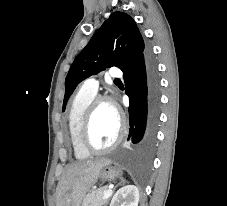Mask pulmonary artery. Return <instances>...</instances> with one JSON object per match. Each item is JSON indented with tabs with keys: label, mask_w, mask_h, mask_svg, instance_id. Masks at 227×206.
Segmentation results:
<instances>
[{
	"label": "pulmonary artery",
	"mask_w": 227,
	"mask_h": 206,
	"mask_svg": "<svg viewBox=\"0 0 227 206\" xmlns=\"http://www.w3.org/2000/svg\"><path fill=\"white\" fill-rule=\"evenodd\" d=\"M110 76L114 78H119L122 76V71L118 68H112L110 71ZM81 89L86 92L96 94L98 90V81L94 78H88L84 81Z\"/></svg>",
	"instance_id": "e3ab8cb5"
}]
</instances>
